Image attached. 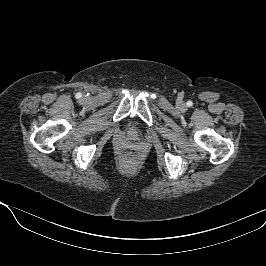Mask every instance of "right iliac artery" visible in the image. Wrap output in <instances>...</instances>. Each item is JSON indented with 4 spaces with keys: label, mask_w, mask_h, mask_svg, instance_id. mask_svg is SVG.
Returning a JSON list of instances; mask_svg holds the SVG:
<instances>
[{
    "label": "right iliac artery",
    "mask_w": 266,
    "mask_h": 266,
    "mask_svg": "<svg viewBox=\"0 0 266 266\" xmlns=\"http://www.w3.org/2000/svg\"><path fill=\"white\" fill-rule=\"evenodd\" d=\"M78 97H81V94H77Z\"/></svg>",
    "instance_id": "82829eb1"
}]
</instances>
